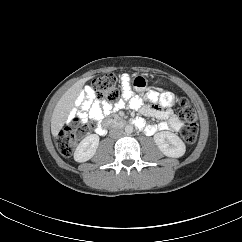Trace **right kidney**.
Returning <instances> with one entry per match:
<instances>
[{"instance_id": "obj_1", "label": "right kidney", "mask_w": 242, "mask_h": 242, "mask_svg": "<svg viewBox=\"0 0 242 242\" xmlns=\"http://www.w3.org/2000/svg\"><path fill=\"white\" fill-rule=\"evenodd\" d=\"M99 145V136L96 134H91L85 137L77 146L74 152V160L77 162H86L90 160Z\"/></svg>"}]
</instances>
